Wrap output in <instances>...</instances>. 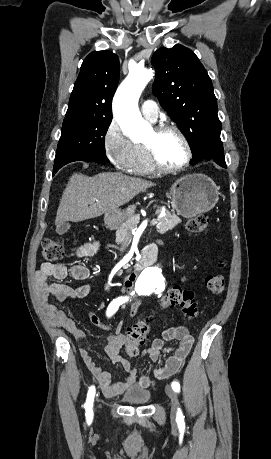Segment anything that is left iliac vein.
<instances>
[{"instance_id":"left-iliac-vein-1","label":"left iliac vein","mask_w":271,"mask_h":459,"mask_svg":"<svg viewBox=\"0 0 271 459\" xmlns=\"http://www.w3.org/2000/svg\"><path fill=\"white\" fill-rule=\"evenodd\" d=\"M165 391L167 396L170 398V403H171V416L174 417L176 416L179 408V400L178 396L175 393V391L171 388V386L167 385L165 387Z\"/></svg>"}]
</instances>
